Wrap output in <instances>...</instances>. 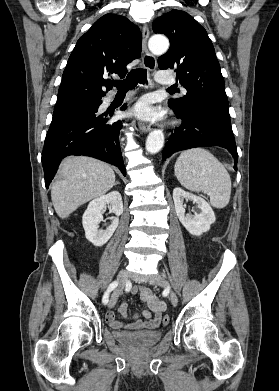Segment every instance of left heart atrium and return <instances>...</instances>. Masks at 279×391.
Masks as SVG:
<instances>
[{
    "mask_svg": "<svg viewBox=\"0 0 279 391\" xmlns=\"http://www.w3.org/2000/svg\"><path fill=\"white\" fill-rule=\"evenodd\" d=\"M133 113L140 119L147 121H154L162 117V111L152 106L151 99L149 97L141 98L133 109Z\"/></svg>",
    "mask_w": 279,
    "mask_h": 391,
    "instance_id": "left-heart-atrium-1",
    "label": "left heart atrium"
}]
</instances>
